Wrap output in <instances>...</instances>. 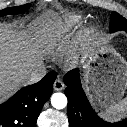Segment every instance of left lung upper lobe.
<instances>
[{
  "label": "left lung upper lobe",
  "instance_id": "5c2ea615",
  "mask_svg": "<svg viewBox=\"0 0 127 127\" xmlns=\"http://www.w3.org/2000/svg\"><path fill=\"white\" fill-rule=\"evenodd\" d=\"M111 32L125 30L127 31V20L116 12H112L110 27Z\"/></svg>",
  "mask_w": 127,
  "mask_h": 127
}]
</instances>
